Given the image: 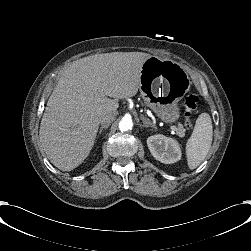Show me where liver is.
I'll use <instances>...</instances> for the list:
<instances>
[{
    "label": "liver",
    "instance_id": "1",
    "mask_svg": "<svg viewBox=\"0 0 251 251\" xmlns=\"http://www.w3.org/2000/svg\"><path fill=\"white\" fill-rule=\"evenodd\" d=\"M150 57L144 52H111L70 65L50 95L41 120L40 143L52 164L69 171L84 160L100 119L114 118L117 99L137 93L143 63ZM98 95L106 101L96 103Z\"/></svg>",
    "mask_w": 251,
    "mask_h": 251
}]
</instances>
